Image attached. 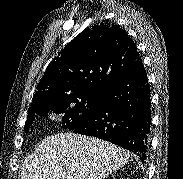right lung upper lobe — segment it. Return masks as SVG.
I'll return each mask as SVG.
<instances>
[{"label": "right lung upper lobe", "mask_w": 183, "mask_h": 179, "mask_svg": "<svg viewBox=\"0 0 183 179\" xmlns=\"http://www.w3.org/2000/svg\"><path fill=\"white\" fill-rule=\"evenodd\" d=\"M142 65L136 43L118 25L88 27L49 64L31 106L55 97L100 94Z\"/></svg>", "instance_id": "right-lung-upper-lobe-1"}]
</instances>
